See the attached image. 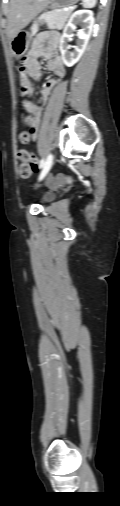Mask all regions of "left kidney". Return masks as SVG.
<instances>
[{
	"label": "left kidney",
	"instance_id": "left-kidney-1",
	"mask_svg": "<svg viewBox=\"0 0 120 506\" xmlns=\"http://www.w3.org/2000/svg\"><path fill=\"white\" fill-rule=\"evenodd\" d=\"M81 23L82 29L77 31V43L73 46L74 51H69L68 41L71 34L76 29V24ZM94 27L93 12L90 10H78L72 14L67 25L63 30L60 39L59 49L61 52L63 63L71 67L79 61L83 55Z\"/></svg>",
	"mask_w": 120,
	"mask_h": 506
}]
</instances>
